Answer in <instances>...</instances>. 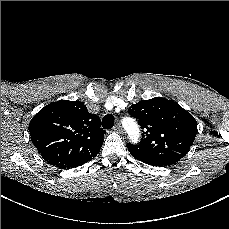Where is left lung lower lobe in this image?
<instances>
[{"label": "left lung lower lobe", "mask_w": 229, "mask_h": 229, "mask_svg": "<svg viewBox=\"0 0 229 229\" xmlns=\"http://www.w3.org/2000/svg\"><path fill=\"white\" fill-rule=\"evenodd\" d=\"M148 165L157 166V167H163V166H165V165H154V164H148Z\"/></svg>", "instance_id": "1"}]
</instances>
